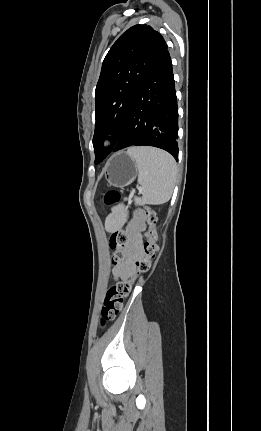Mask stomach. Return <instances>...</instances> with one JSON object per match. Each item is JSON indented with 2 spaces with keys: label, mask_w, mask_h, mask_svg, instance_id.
I'll list each match as a JSON object with an SVG mask.
<instances>
[{
  "label": "stomach",
  "mask_w": 261,
  "mask_h": 431,
  "mask_svg": "<svg viewBox=\"0 0 261 431\" xmlns=\"http://www.w3.org/2000/svg\"><path fill=\"white\" fill-rule=\"evenodd\" d=\"M138 174L135 161L126 153L115 154L105 169V179L113 187H124L131 184Z\"/></svg>",
  "instance_id": "0dacf381"
}]
</instances>
